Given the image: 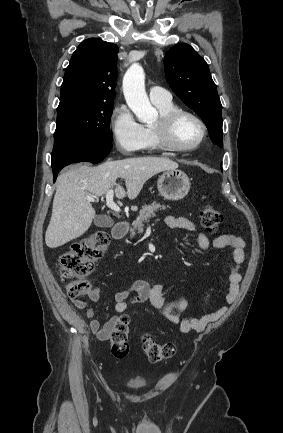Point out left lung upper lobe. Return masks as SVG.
<instances>
[{
  "mask_svg": "<svg viewBox=\"0 0 283 433\" xmlns=\"http://www.w3.org/2000/svg\"><path fill=\"white\" fill-rule=\"evenodd\" d=\"M166 80L177 96L206 124L218 146L222 140V105L205 60L188 44L172 47L165 55Z\"/></svg>",
  "mask_w": 283,
  "mask_h": 433,
  "instance_id": "5c2ea615",
  "label": "left lung upper lobe"
}]
</instances>
